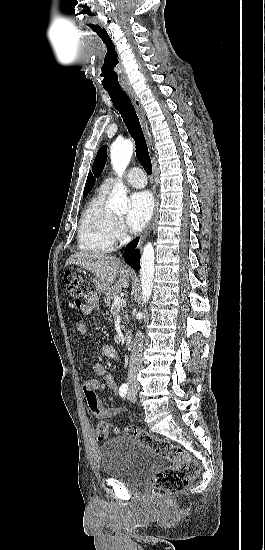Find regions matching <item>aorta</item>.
Returning <instances> with one entry per match:
<instances>
[{"label":"aorta","mask_w":265,"mask_h":550,"mask_svg":"<svg viewBox=\"0 0 265 550\" xmlns=\"http://www.w3.org/2000/svg\"><path fill=\"white\" fill-rule=\"evenodd\" d=\"M133 154V144L130 140L114 143L111 147L110 157L114 171L122 176ZM108 206L113 210L128 211V198L126 188L122 183L116 186V192L108 201ZM155 253L151 243L145 245L141 256V289L143 304L147 303L152 294L155 272ZM139 315H142L139 312Z\"/></svg>","instance_id":"aorta-1"}]
</instances>
